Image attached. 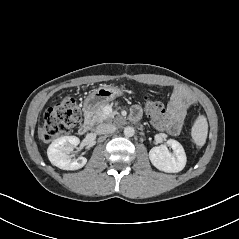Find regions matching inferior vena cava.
I'll list each match as a JSON object with an SVG mask.
<instances>
[{"instance_id": "1", "label": "inferior vena cava", "mask_w": 239, "mask_h": 239, "mask_svg": "<svg viewBox=\"0 0 239 239\" xmlns=\"http://www.w3.org/2000/svg\"><path fill=\"white\" fill-rule=\"evenodd\" d=\"M116 127L111 123H103L97 127L96 132L98 134H110L115 132Z\"/></svg>"}]
</instances>
